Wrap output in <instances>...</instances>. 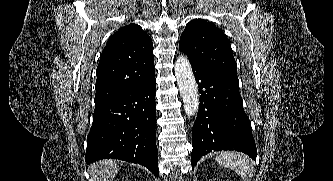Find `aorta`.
I'll return each mask as SVG.
<instances>
[{"instance_id": "obj_1", "label": "aorta", "mask_w": 333, "mask_h": 181, "mask_svg": "<svg viewBox=\"0 0 333 181\" xmlns=\"http://www.w3.org/2000/svg\"><path fill=\"white\" fill-rule=\"evenodd\" d=\"M174 70L185 113L194 116L199 107L198 87L188 58L178 57Z\"/></svg>"}]
</instances>
